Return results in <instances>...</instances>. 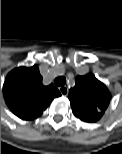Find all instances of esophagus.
I'll return each instance as SVG.
<instances>
[{"mask_svg":"<svg viewBox=\"0 0 122 154\" xmlns=\"http://www.w3.org/2000/svg\"><path fill=\"white\" fill-rule=\"evenodd\" d=\"M59 91H60V93H61L63 96H67V95H68V92H69V90H68V88H67L66 86L60 87V88H59Z\"/></svg>","mask_w":122,"mask_h":154,"instance_id":"obj_1","label":"esophagus"}]
</instances>
